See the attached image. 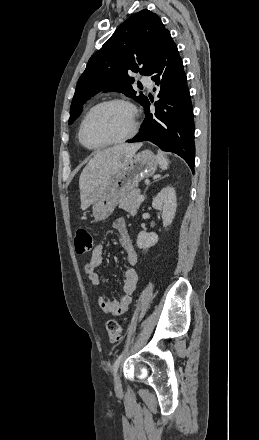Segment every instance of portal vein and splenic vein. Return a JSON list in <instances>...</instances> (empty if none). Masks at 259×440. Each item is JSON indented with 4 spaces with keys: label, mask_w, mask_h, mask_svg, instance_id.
Listing matches in <instances>:
<instances>
[{
    "label": "portal vein and splenic vein",
    "mask_w": 259,
    "mask_h": 440,
    "mask_svg": "<svg viewBox=\"0 0 259 440\" xmlns=\"http://www.w3.org/2000/svg\"><path fill=\"white\" fill-rule=\"evenodd\" d=\"M138 201L143 202L144 201V196L143 195H139L138 196Z\"/></svg>",
    "instance_id": "obj_1"
}]
</instances>
